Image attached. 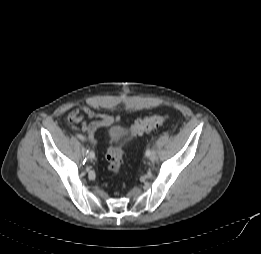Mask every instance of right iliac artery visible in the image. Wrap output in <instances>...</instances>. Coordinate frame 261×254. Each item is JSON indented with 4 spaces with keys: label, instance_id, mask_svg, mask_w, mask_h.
<instances>
[{
    "label": "right iliac artery",
    "instance_id": "obj_1",
    "mask_svg": "<svg viewBox=\"0 0 261 254\" xmlns=\"http://www.w3.org/2000/svg\"><path fill=\"white\" fill-rule=\"evenodd\" d=\"M76 136L79 138V139H81L82 141H87V139L84 137V136H82L81 134H76ZM89 154V157L90 158H94V156H95V153L93 152V151H88V150H86V154Z\"/></svg>",
    "mask_w": 261,
    "mask_h": 254
}]
</instances>
